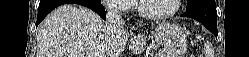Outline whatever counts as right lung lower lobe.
<instances>
[{"label": "right lung lower lobe", "mask_w": 249, "mask_h": 57, "mask_svg": "<svg viewBox=\"0 0 249 57\" xmlns=\"http://www.w3.org/2000/svg\"><path fill=\"white\" fill-rule=\"evenodd\" d=\"M75 3L82 6L88 7L99 14L103 19L106 20V12L101 3H95L90 0H40L38 8V19L36 26L49 14L54 8L62 4Z\"/></svg>", "instance_id": "obj_1"}]
</instances>
